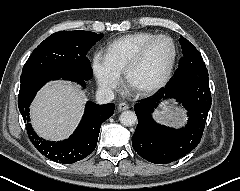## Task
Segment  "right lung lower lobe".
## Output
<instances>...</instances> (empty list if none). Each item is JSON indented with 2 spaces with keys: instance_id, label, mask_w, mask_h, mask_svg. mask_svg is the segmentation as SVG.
Instances as JSON below:
<instances>
[{
  "instance_id": "98d812e1",
  "label": "right lung lower lobe",
  "mask_w": 240,
  "mask_h": 191,
  "mask_svg": "<svg viewBox=\"0 0 240 191\" xmlns=\"http://www.w3.org/2000/svg\"><path fill=\"white\" fill-rule=\"evenodd\" d=\"M64 79L78 82L85 87V80L74 74L56 69L39 72H25L20 78L18 107L26 123L32 144L45 157L59 163L71 164L87 157L96 147L100 125L113 115L114 104L98 105L88 101L81 123L75 132L61 142H51L40 138L29 123V106L37 91L48 81Z\"/></svg>"
}]
</instances>
